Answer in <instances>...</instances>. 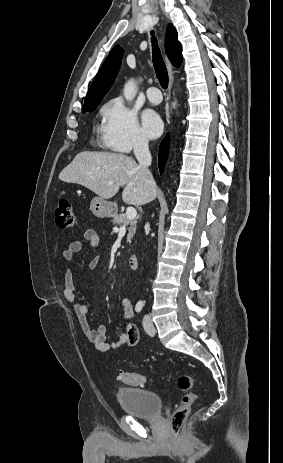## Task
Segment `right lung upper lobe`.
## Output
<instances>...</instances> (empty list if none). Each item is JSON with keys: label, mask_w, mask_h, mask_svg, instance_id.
Segmentation results:
<instances>
[{"label": "right lung upper lobe", "mask_w": 283, "mask_h": 463, "mask_svg": "<svg viewBox=\"0 0 283 463\" xmlns=\"http://www.w3.org/2000/svg\"><path fill=\"white\" fill-rule=\"evenodd\" d=\"M177 31L172 24H169L166 29V53L174 66L179 67L182 63V47L177 40ZM124 49L116 45L110 52L100 71L94 79L91 88L85 98L84 106H90L100 103L103 96L111 88L115 77L119 71Z\"/></svg>", "instance_id": "right-lung-upper-lobe-1"}]
</instances>
